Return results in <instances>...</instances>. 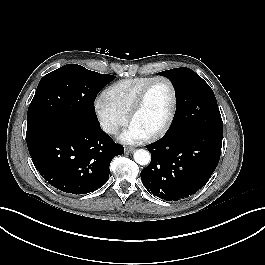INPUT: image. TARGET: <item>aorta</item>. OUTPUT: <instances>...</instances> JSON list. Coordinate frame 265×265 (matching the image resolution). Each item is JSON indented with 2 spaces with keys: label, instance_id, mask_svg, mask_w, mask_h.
<instances>
[{
  "label": "aorta",
  "instance_id": "obj_1",
  "mask_svg": "<svg viewBox=\"0 0 265 265\" xmlns=\"http://www.w3.org/2000/svg\"><path fill=\"white\" fill-rule=\"evenodd\" d=\"M133 157H134L135 162L140 164V165H148L150 163V160H151L150 153L144 149H137L134 152Z\"/></svg>",
  "mask_w": 265,
  "mask_h": 265
}]
</instances>
